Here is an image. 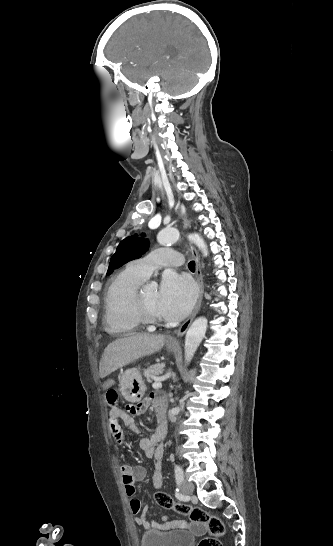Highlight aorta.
Segmentation results:
<instances>
[{
  "label": "aorta",
  "mask_w": 333,
  "mask_h": 546,
  "mask_svg": "<svg viewBox=\"0 0 333 546\" xmlns=\"http://www.w3.org/2000/svg\"><path fill=\"white\" fill-rule=\"evenodd\" d=\"M179 239V230L173 228L161 231L157 237V240L161 245L175 243ZM188 239L191 240L199 248V250H201L204 256L208 255L207 245L199 234H190L188 235ZM206 329L207 319L205 317L196 319L189 327L185 337V362L187 364L191 362L198 346L205 336Z\"/></svg>",
  "instance_id": "obj_1"
}]
</instances>
